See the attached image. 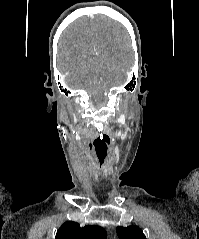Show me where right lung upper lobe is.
<instances>
[{
  "label": "right lung upper lobe",
  "mask_w": 199,
  "mask_h": 239,
  "mask_svg": "<svg viewBox=\"0 0 199 239\" xmlns=\"http://www.w3.org/2000/svg\"><path fill=\"white\" fill-rule=\"evenodd\" d=\"M55 239H107V233L99 226L80 227L78 223L69 221L58 229Z\"/></svg>",
  "instance_id": "cb5924a9"
}]
</instances>
